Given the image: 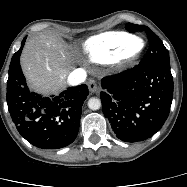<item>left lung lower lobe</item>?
Here are the masks:
<instances>
[{
	"label": "left lung lower lobe",
	"mask_w": 187,
	"mask_h": 187,
	"mask_svg": "<svg viewBox=\"0 0 187 187\" xmlns=\"http://www.w3.org/2000/svg\"><path fill=\"white\" fill-rule=\"evenodd\" d=\"M101 85L103 113L122 141L146 140L163 126L173 99L170 63H140Z\"/></svg>",
	"instance_id": "obj_1"
}]
</instances>
